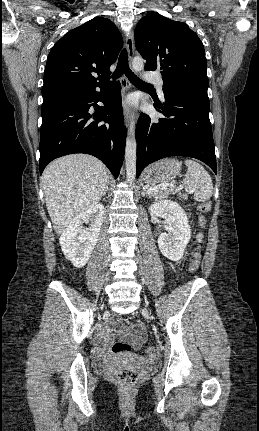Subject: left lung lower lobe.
<instances>
[{
    "label": "left lung lower lobe",
    "mask_w": 259,
    "mask_h": 431,
    "mask_svg": "<svg viewBox=\"0 0 259 431\" xmlns=\"http://www.w3.org/2000/svg\"><path fill=\"white\" fill-rule=\"evenodd\" d=\"M163 93L164 102L156 101L155 108L165 118L141 113L137 122V178L148 164L168 156L199 159L217 174L208 96L192 91Z\"/></svg>",
    "instance_id": "0a47b994"
}]
</instances>
